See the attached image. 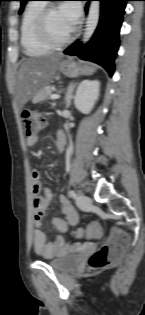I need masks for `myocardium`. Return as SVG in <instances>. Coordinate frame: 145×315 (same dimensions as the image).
Instances as JSON below:
<instances>
[{"instance_id":"obj_1","label":"myocardium","mask_w":145,"mask_h":315,"mask_svg":"<svg viewBox=\"0 0 145 315\" xmlns=\"http://www.w3.org/2000/svg\"><path fill=\"white\" fill-rule=\"evenodd\" d=\"M55 9L57 8L54 5L45 6L38 14L34 23V32L36 37L40 42H42L50 49H58L66 46L73 39L75 32V30L73 29L72 32L61 41H55L54 39L51 38L47 28V20L50 13Z\"/></svg>"}]
</instances>
